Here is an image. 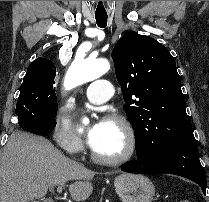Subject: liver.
Returning <instances> with one entry per match:
<instances>
[{"label": "liver", "mask_w": 209, "mask_h": 202, "mask_svg": "<svg viewBox=\"0 0 209 202\" xmlns=\"http://www.w3.org/2000/svg\"><path fill=\"white\" fill-rule=\"evenodd\" d=\"M96 173L67 158L44 137L16 131L0 159V202H30L48 188L69 180L73 200L84 201L93 191Z\"/></svg>", "instance_id": "liver-1"}]
</instances>
